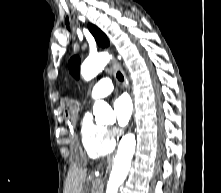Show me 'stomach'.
<instances>
[{
    "label": "stomach",
    "mask_w": 221,
    "mask_h": 193,
    "mask_svg": "<svg viewBox=\"0 0 221 193\" xmlns=\"http://www.w3.org/2000/svg\"><path fill=\"white\" fill-rule=\"evenodd\" d=\"M60 102V109L62 110V115H64V120L67 123H75L78 118L79 107L78 102H75V98H62ZM73 159H70L71 167H84L86 163V154H81L79 147H72ZM81 193H92V188L89 183L83 185Z\"/></svg>",
    "instance_id": "obj_1"
}]
</instances>
